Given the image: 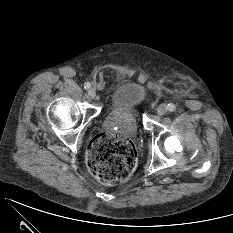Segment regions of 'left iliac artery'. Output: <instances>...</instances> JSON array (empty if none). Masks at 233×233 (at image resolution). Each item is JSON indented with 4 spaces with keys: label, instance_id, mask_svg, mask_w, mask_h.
<instances>
[{
    "label": "left iliac artery",
    "instance_id": "obj_1",
    "mask_svg": "<svg viewBox=\"0 0 233 233\" xmlns=\"http://www.w3.org/2000/svg\"><path fill=\"white\" fill-rule=\"evenodd\" d=\"M167 108H168V110L171 111V112H173V111L176 110V106H175L173 103H169V104L167 105Z\"/></svg>",
    "mask_w": 233,
    "mask_h": 233
}]
</instances>
